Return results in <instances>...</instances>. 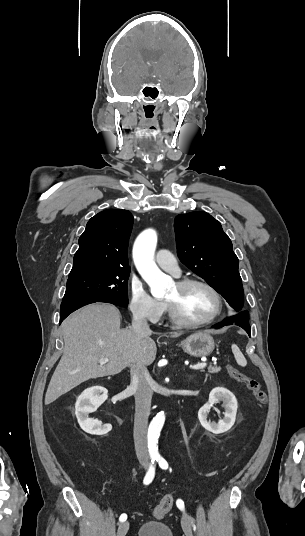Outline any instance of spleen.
Listing matches in <instances>:
<instances>
[{
    "label": "spleen",
    "instance_id": "1",
    "mask_svg": "<svg viewBox=\"0 0 305 536\" xmlns=\"http://www.w3.org/2000/svg\"><path fill=\"white\" fill-rule=\"evenodd\" d=\"M231 350L234 354V358L237 364H239V366H242V368H245V366H247V360L246 358H244L242 352H240L238 346H236V344H232Z\"/></svg>",
    "mask_w": 305,
    "mask_h": 536
}]
</instances>
